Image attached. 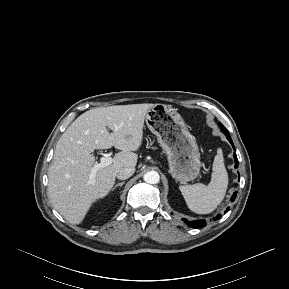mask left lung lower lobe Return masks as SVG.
<instances>
[{"label":"left lung lower lobe","instance_id":"1","mask_svg":"<svg viewBox=\"0 0 289 289\" xmlns=\"http://www.w3.org/2000/svg\"><path fill=\"white\" fill-rule=\"evenodd\" d=\"M225 135H226L227 139L229 140V142L231 143V145H232L233 148H234V145H233V142H232V140H231L230 134L227 133V134H225ZM234 149H235V148H234ZM233 156H234V159H235V168H236V167H238V159H237V155H236L235 153L233 154ZM236 193H237V192H235V193L233 194L232 200L235 199ZM228 210H229V209L227 208V211H228ZM227 211H226V212H227ZM220 216H221V215L218 214L215 218H213V220L219 219ZM183 221H184L188 226H190V227H192V228H202V227L206 226V221H205V220L188 221V220H186V219H183Z\"/></svg>","mask_w":289,"mask_h":289}]
</instances>
